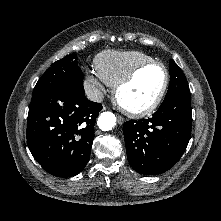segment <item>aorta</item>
Returning a JSON list of instances; mask_svg holds the SVG:
<instances>
[{
  "label": "aorta",
  "mask_w": 221,
  "mask_h": 221,
  "mask_svg": "<svg viewBox=\"0 0 221 221\" xmlns=\"http://www.w3.org/2000/svg\"><path fill=\"white\" fill-rule=\"evenodd\" d=\"M98 127L103 131H109L116 125V117L112 112H103L98 118Z\"/></svg>",
  "instance_id": "1"
}]
</instances>
